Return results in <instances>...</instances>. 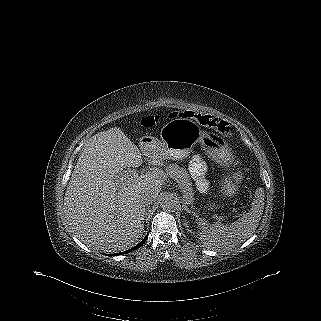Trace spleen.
Returning a JSON list of instances; mask_svg holds the SVG:
<instances>
[{
    "instance_id": "spleen-1",
    "label": "spleen",
    "mask_w": 321,
    "mask_h": 321,
    "mask_svg": "<svg viewBox=\"0 0 321 321\" xmlns=\"http://www.w3.org/2000/svg\"><path fill=\"white\" fill-rule=\"evenodd\" d=\"M264 197L262 188L256 191L255 199L249 212L229 226H225L220 222L207 226L203 220H199L198 225L201 227L200 236L202 242L212 249H230L251 236L261 220Z\"/></svg>"
}]
</instances>
